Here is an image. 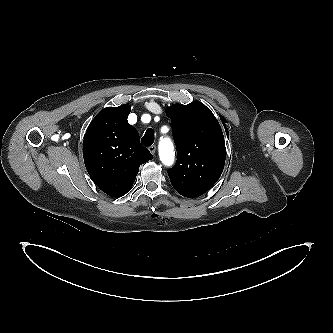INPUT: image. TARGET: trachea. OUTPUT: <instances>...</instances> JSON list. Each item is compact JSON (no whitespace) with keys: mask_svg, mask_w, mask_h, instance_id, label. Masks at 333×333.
Here are the masks:
<instances>
[{"mask_svg":"<svg viewBox=\"0 0 333 333\" xmlns=\"http://www.w3.org/2000/svg\"><path fill=\"white\" fill-rule=\"evenodd\" d=\"M154 142V130L147 129L145 135L141 139V143L145 146H151Z\"/></svg>","mask_w":333,"mask_h":333,"instance_id":"1","label":"trachea"}]
</instances>
